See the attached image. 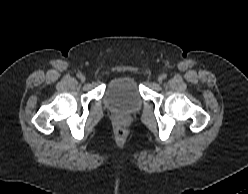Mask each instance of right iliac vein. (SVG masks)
<instances>
[{"instance_id":"right-iliac-vein-1","label":"right iliac vein","mask_w":248,"mask_h":194,"mask_svg":"<svg viewBox=\"0 0 248 194\" xmlns=\"http://www.w3.org/2000/svg\"><path fill=\"white\" fill-rule=\"evenodd\" d=\"M80 79H81V81H84L85 80V78L83 76Z\"/></svg>"}]
</instances>
